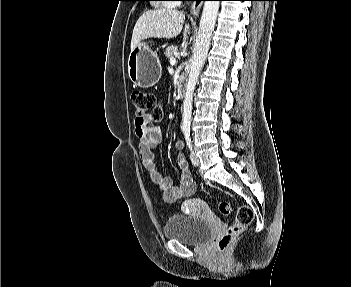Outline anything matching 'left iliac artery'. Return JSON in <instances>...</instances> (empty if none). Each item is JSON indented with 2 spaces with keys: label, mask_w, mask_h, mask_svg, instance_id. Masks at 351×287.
I'll return each instance as SVG.
<instances>
[{
  "label": "left iliac artery",
  "mask_w": 351,
  "mask_h": 287,
  "mask_svg": "<svg viewBox=\"0 0 351 287\" xmlns=\"http://www.w3.org/2000/svg\"><path fill=\"white\" fill-rule=\"evenodd\" d=\"M185 139H186V143H187L188 148L190 150H192V142H191V138H190V133L189 132L185 133Z\"/></svg>",
  "instance_id": "obj_1"
}]
</instances>
